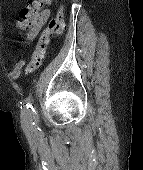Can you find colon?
Segmentation results:
<instances>
[{
  "label": "colon",
  "instance_id": "colon-1",
  "mask_svg": "<svg viewBox=\"0 0 143 170\" xmlns=\"http://www.w3.org/2000/svg\"><path fill=\"white\" fill-rule=\"evenodd\" d=\"M40 9L38 0H34L28 6L20 10L19 20L23 26H29L36 18L37 12ZM64 28V13L63 7L59 6L54 18H52L48 26L41 33L35 51L32 54L31 61L26 72L31 74L39 69L43 63L46 47L49 39L54 34H60Z\"/></svg>",
  "mask_w": 143,
  "mask_h": 170
}]
</instances>
